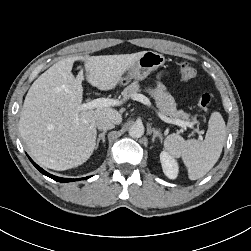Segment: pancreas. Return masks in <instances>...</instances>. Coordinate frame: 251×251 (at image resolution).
<instances>
[{"label":"pancreas","mask_w":251,"mask_h":251,"mask_svg":"<svg viewBox=\"0 0 251 251\" xmlns=\"http://www.w3.org/2000/svg\"><path fill=\"white\" fill-rule=\"evenodd\" d=\"M140 91V85L138 81L132 82L128 85L121 93L123 99L129 100L133 95L137 94ZM146 91L155 99L160 112L165 116L173 119H183L188 120L189 114L185 113L182 110L176 109V103L174 98L166 91L164 87L161 88H148ZM196 119L193 118L191 124L195 123Z\"/></svg>","instance_id":"pancreas-1"}]
</instances>
